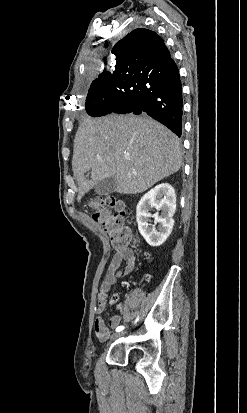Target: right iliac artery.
<instances>
[{
  "label": "right iliac artery",
  "instance_id": "1",
  "mask_svg": "<svg viewBox=\"0 0 247 413\" xmlns=\"http://www.w3.org/2000/svg\"><path fill=\"white\" fill-rule=\"evenodd\" d=\"M139 320V317L135 320V323L137 322ZM124 326H118L117 328H116V332H120V331H122V330H124Z\"/></svg>",
  "mask_w": 247,
  "mask_h": 413
}]
</instances>
